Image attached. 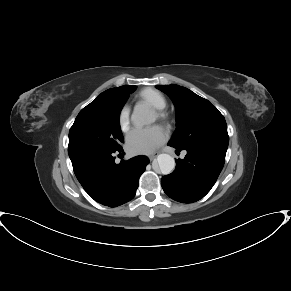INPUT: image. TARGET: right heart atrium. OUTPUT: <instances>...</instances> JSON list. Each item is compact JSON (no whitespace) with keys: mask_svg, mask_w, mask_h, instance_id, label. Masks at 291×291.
Here are the masks:
<instances>
[{"mask_svg":"<svg viewBox=\"0 0 291 291\" xmlns=\"http://www.w3.org/2000/svg\"><path fill=\"white\" fill-rule=\"evenodd\" d=\"M119 126L123 132H127L130 124V108L128 106H124L119 114Z\"/></svg>","mask_w":291,"mask_h":291,"instance_id":"right-heart-atrium-1","label":"right heart atrium"}]
</instances>
